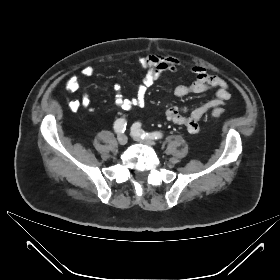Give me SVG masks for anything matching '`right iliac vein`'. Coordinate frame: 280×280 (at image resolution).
Here are the masks:
<instances>
[{"label": "right iliac vein", "instance_id": "obj_1", "mask_svg": "<svg viewBox=\"0 0 280 280\" xmlns=\"http://www.w3.org/2000/svg\"><path fill=\"white\" fill-rule=\"evenodd\" d=\"M118 143L122 146L126 145L128 142V137L125 134H120L117 138Z\"/></svg>", "mask_w": 280, "mask_h": 280}]
</instances>
